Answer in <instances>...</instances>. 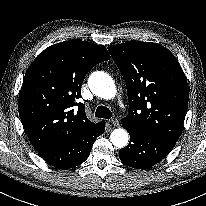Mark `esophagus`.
Instances as JSON below:
<instances>
[{
    "label": "esophagus",
    "instance_id": "esophagus-1",
    "mask_svg": "<svg viewBox=\"0 0 206 206\" xmlns=\"http://www.w3.org/2000/svg\"><path fill=\"white\" fill-rule=\"evenodd\" d=\"M110 123L115 126V127H118L119 126V121L117 119H111L110 120Z\"/></svg>",
    "mask_w": 206,
    "mask_h": 206
}]
</instances>
